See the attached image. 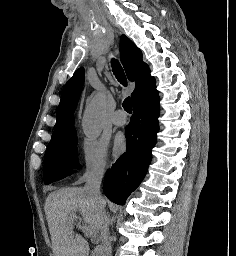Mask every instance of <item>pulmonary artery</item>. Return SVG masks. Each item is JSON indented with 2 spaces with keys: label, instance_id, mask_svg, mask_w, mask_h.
I'll use <instances>...</instances> for the list:
<instances>
[{
  "label": "pulmonary artery",
  "instance_id": "pulmonary-artery-1",
  "mask_svg": "<svg viewBox=\"0 0 236 256\" xmlns=\"http://www.w3.org/2000/svg\"><path fill=\"white\" fill-rule=\"evenodd\" d=\"M112 122L113 124H115L116 126H123L126 124V120L125 119H120L118 117H113L112 118Z\"/></svg>",
  "mask_w": 236,
  "mask_h": 256
}]
</instances>
